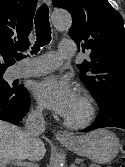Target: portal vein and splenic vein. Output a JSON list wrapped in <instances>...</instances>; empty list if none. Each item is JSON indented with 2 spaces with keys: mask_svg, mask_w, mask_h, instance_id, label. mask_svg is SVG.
I'll return each mask as SVG.
<instances>
[{
  "mask_svg": "<svg viewBox=\"0 0 125 167\" xmlns=\"http://www.w3.org/2000/svg\"><path fill=\"white\" fill-rule=\"evenodd\" d=\"M7 162L3 161V162H0V167H4V165L6 164ZM17 164H20L22 166H29V163L27 162H21V161H17L16 162ZM71 167H76L75 165H72Z\"/></svg>",
  "mask_w": 125,
  "mask_h": 167,
  "instance_id": "18ae733b",
  "label": "portal vein and splenic vein"
}]
</instances>
